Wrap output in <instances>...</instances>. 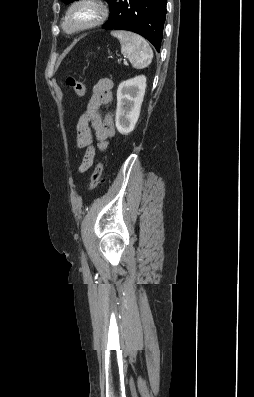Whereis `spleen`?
Masks as SVG:
<instances>
[{
    "label": "spleen",
    "mask_w": 254,
    "mask_h": 397,
    "mask_svg": "<svg viewBox=\"0 0 254 397\" xmlns=\"http://www.w3.org/2000/svg\"><path fill=\"white\" fill-rule=\"evenodd\" d=\"M121 44V53L129 59L134 68H144L153 59V51L148 42L136 33L130 31H111Z\"/></svg>",
    "instance_id": "3e777b00"
}]
</instances>
